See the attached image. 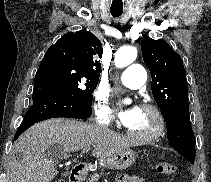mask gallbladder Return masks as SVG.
I'll return each instance as SVG.
<instances>
[{
	"label": "gallbladder",
	"mask_w": 211,
	"mask_h": 182,
	"mask_svg": "<svg viewBox=\"0 0 211 182\" xmlns=\"http://www.w3.org/2000/svg\"><path fill=\"white\" fill-rule=\"evenodd\" d=\"M47 155L54 160L62 159V146L58 144L51 145L47 150Z\"/></svg>",
	"instance_id": "1"
}]
</instances>
